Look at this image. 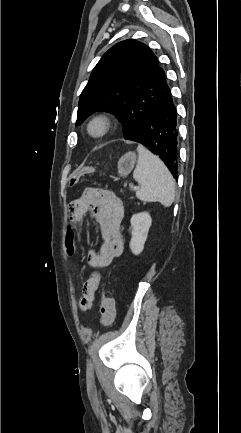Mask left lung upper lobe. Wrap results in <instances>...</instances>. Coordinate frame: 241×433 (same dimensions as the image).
<instances>
[{"mask_svg":"<svg viewBox=\"0 0 241 433\" xmlns=\"http://www.w3.org/2000/svg\"><path fill=\"white\" fill-rule=\"evenodd\" d=\"M167 86L158 58L145 44L121 41L93 69L80 95L76 125L93 111L106 109L119 115L127 137L158 104Z\"/></svg>","mask_w":241,"mask_h":433,"instance_id":"5c2ea615","label":"left lung upper lobe"}]
</instances>
